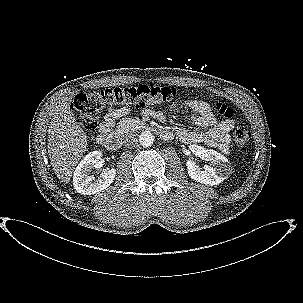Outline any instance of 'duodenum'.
<instances>
[{
  "instance_id": "obj_1",
  "label": "duodenum",
  "mask_w": 303,
  "mask_h": 303,
  "mask_svg": "<svg viewBox=\"0 0 303 303\" xmlns=\"http://www.w3.org/2000/svg\"><path fill=\"white\" fill-rule=\"evenodd\" d=\"M161 136L164 139H169L171 137L166 131H162ZM100 140L108 150L115 151L121 147L120 138L114 134H109L107 136L101 137Z\"/></svg>"
}]
</instances>
